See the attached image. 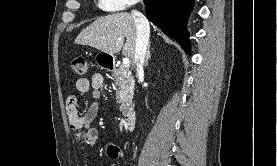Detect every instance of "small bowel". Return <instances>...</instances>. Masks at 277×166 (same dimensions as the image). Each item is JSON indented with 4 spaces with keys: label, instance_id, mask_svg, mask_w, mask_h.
<instances>
[{
    "label": "small bowel",
    "instance_id": "obj_1",
    "mask_svg": "<svg viewBox=\"0 0 277 166\" xmlns=\"http://www.w3.org/2000/svg\"><path fill=\"white\" fill-rule=\"evenodd\" d=\"M102 86L103 76L99 73L92 74L90 79L81 78L76 81L77 92L82 95L91 93L93 98V102L83 114L77 112V101L74 97H70L66 103L70 127L76 131L77 139L90 147H94L99 141V133L97 129L91 126V123L98 112V101L101 97ZM105 152L110 158H119L123 154L119 147L112 144L107 145Z\"/></svg>",
    "mask_w": 277,
    "mask_h": 166
}]
</instances>
